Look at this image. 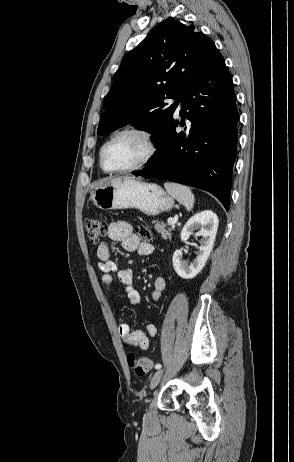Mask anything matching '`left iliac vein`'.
<instances>
[{
  "instance_id": "4c4485c4",
  "label": "left iliac vein",
  "mask_w": 294,
  "mask_h": 462,
  "mask_svg": "<svg viewBox=\"0 0 294 462\" xmlns=\"http://www.w3.org/2000/svg\"><path fill=\"white\" fill-rule=\"evenodd\" d=\"M162 376H163V370H158L153 374L151 383H150V387L152 389L155 388L159 384L160 380L162 379Z\"/></svg>"
}]
</instances>
